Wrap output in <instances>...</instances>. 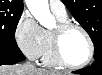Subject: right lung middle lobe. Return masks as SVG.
I'll return each mask as SVG.
<instances>
[{"instance_id":"right-lung-middle-lobe-1","label":"right lung middle lobe","mask_w":102,"mask_h":75,"mask_svg":"<svg viewBox=\"0 0 102 75\" xmlns=\"http://www.w3.org/2000/svg\"><path fill=\"white\" fill-rule=\"evenodd\" d=\"M22 12V8L0 5V45L17 46L15 31Z\"/></svg>"}]
</instances>
